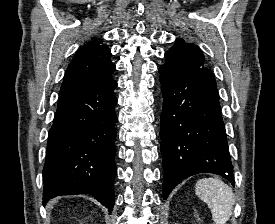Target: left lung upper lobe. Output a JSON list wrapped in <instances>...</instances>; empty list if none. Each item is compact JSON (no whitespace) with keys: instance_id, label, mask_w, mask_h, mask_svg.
Instances as JSON below:
<instances>
[{"instance_id":"obj_1","label":"left lung upper lobe","mask_w":275,"mask_h":224,"mask_svg":"<svg viewBox=\"0 0 275 224\" xmlns=\"http://www.w3.org/2000/svg\"><path fill=\"white\" fill-rule=\"evenodd\" d=\"M165 63L161 69L167 76L184 77L195 75L207 81L216 88L213 73L204 67V56L201 50L192 43H186L183 39H176L164 55Z\"/></svg>"}]
</instances>
